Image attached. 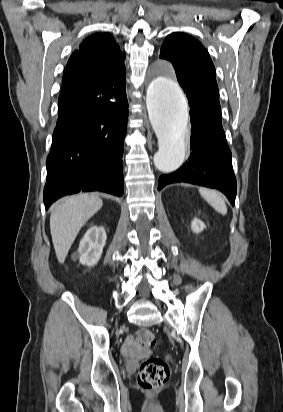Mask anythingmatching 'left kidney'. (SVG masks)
I'll return each mask as SVG.
<instances>
[{
    "instance_id": "5707ae66",
    "label": "left kidney",
    "mask_w": 283,
    "mask_h": 412,
    "mask_svg": "<svg viewBox=\"0 0 283 412\" xmlns=\"http://www.w3.org/2000/svg\"><path fill=\"white\" fill-rule=\"evenodd\" d=\"M191 228L194 233L198 234L203 231L205 224L201 220L195 218L191 223Z\"/></svg>"
}]
</instances>
